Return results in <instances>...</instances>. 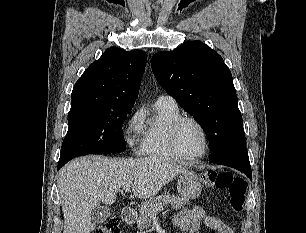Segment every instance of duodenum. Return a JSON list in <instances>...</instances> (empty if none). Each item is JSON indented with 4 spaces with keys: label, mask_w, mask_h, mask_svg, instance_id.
Wrapping results in <instances>:
<instances>
[{
    "label": "duodenum",
    "mask_w": 306,
    "mask_h": 233,
    "mask_svg": "<svg viewBox=\"0 0 306 233\" xmlns=\"http://www.w3.org/2000/svg\"><path fill=\"white\" fill-rule=\"evenodd\" d=\"M121 217L125 224H132L135 218V212L130 207H124L121 210Z\"/></svg>",
    "instance_id": "410a0bca"
}]
</instances>
